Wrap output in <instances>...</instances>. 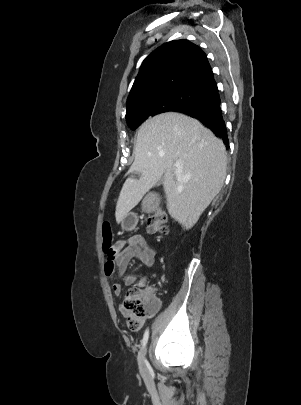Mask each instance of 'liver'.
<instances>
[{
    "label": "liver",
    "mask_w": 301,
    "mask_h": 405,
    "mask_svg": "<svg viewBox=\"0 0 301 405\" xmlns=\"http://www.w3.org/2000/svg\"><path fill=\"white\" fill-rule=\"evenodd\" d=\"M226 166L223 142L198 120L175 112L149 118L138 130L135 160L128 171L141 177H128L123 184L116 221L122 222L162 178L168 213L190 229L220 192Z\"/></svg>",
    "instance_id": "obj_1"
}]
</instances>
